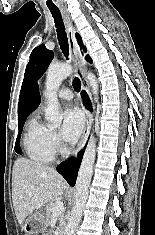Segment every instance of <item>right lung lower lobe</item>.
I'll return each mask as SVG.
<instances>
[{"instance_id": "98d812e1", "label": "right lung lower lobe", "mask_w": 155, "mask_h": 235, "mask_svg": "<svg viewBox=\"0 0 155 235\" xmlns=\"http://www.w3.org/2000/svg\"><path fill=\"white\" fill-rule=\"evenodd\" d=\"M82 96L84 99V104L87 109H91V103L87 99L88 95L85 91L82 92ZM84 149L79 153L77 158H70L63 164L57 167V171L66 179V181L71 185L74 186L78 174V170L81 164V160L83 157Z\"/></svg>"}]
</instances>
